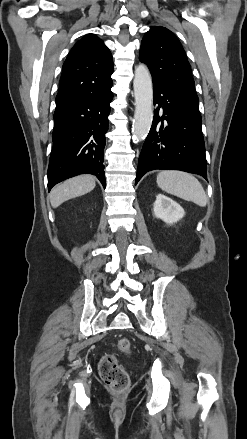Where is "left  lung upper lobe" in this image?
Here are the masks:
<instances>
[{"label": "left lung upper lobe", "instance_id": "5c2ea615", "mask_svg": "<svg viewBox=\"0 0 247 439\" xmlns=\"http://www.w3.org/2000/svg\"><path fill=\"white\" fill-rule=\"evenodd\" d=\"M139 59L148 65L153 82L199 102L185 51L170 30L162 26L151 27L142 39Z\"/></svg>", "mask_w": 247, "mask_h": 439}]
</instances>
